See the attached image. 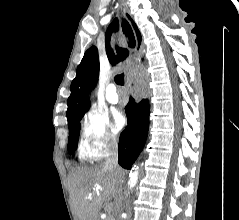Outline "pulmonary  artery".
<instances>
[{"label": "pulmonary artery", "mask_w": 239, "mask_h": 220, "mask_svg": "<svg viewBox=\"0 0 239 220\" xmlns=\"http://www.w3.org/2000/svg\"><path fill=\"white\" fill-rule=\"evenodd\" d=\"M106 99L112 104L119 102V95L117 93L116 86L113 83L109 84L106 89Z\"/></svg>", "instance_id": "pulmonary-artery-1"}]
</instances>
